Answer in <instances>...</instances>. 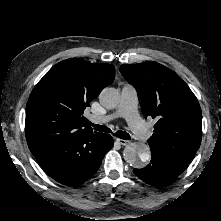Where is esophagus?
Segmentation results:
<instances>
[{
	"instance_id": "1",
	"label": "esophagus",
	"mask_w": 221,
	"mask_h": 221,
	"mask_svg": "<svg viewBox=\"0 0 221 221\" xmlns=\"http://www.w3.org/2000/svg\"><path fill=\"white\" fill-rule=\"evenodd\" d=\"M116 141L120 144V145H127L129 143V141L127 140H123V139H120V138H117Z\"/></svg>"
}]
</instances>
